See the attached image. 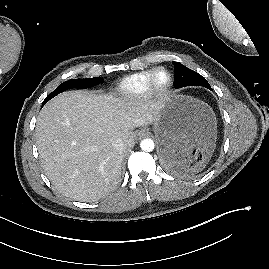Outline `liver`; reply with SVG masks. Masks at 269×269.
<instances>
[{"mask_svg":"<svg viewBox=\"0 0 269 269\" xmlns=\"http://www.w3.org/2000/svg\"><path fill=\"white\" fill-rule=\"evenodd\" d=\"M160 102L117 94L68 91L40 111L36 146L54 187L74 200L92 202L121 181L124 153L134 145L133 130L154 123ZM120 138L123 150L112 142Z\"/></svg>","mask_w":269,"mask_h":269,"instance_id":"liver-1","label":"liver"}]
</instances>
